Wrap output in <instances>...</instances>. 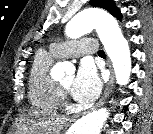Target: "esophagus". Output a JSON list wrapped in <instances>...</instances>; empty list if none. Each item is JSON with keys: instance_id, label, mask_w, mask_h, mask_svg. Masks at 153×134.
<instances>
[{"instance_id": "obj_1", "label": "esophagus", "mask_w": 153, "mask_h": 134, "mask_svg": "<svg viewBox=\"0 0 153 134\" xmlns=\"http://www.w3.org/2000/svg\"><path fill=\"white\" fill-rule=\"evenodd\" d=\"M108 67L110 70V79L106 85L105 91L101 97V99L98 101V103L96 104L95 108L100 107L104 104L106 98L108 97V95L111 93L112 89H113V85H114V74H113V69L111 66V63L108 61ZM77 116H75L74 118H76Z\"/></svg>"}]
</instances>
